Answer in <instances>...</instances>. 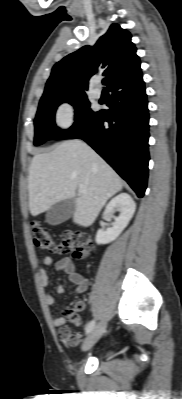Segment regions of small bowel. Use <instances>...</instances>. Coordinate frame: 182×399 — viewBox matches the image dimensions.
I'll list each match as a JSON object with an SVG mask.
<instances>
[{
  "label": "small bowel",
  "mask_w": 182,
  "mask_h": 399,
  "mask_svg": "<svg viewBox=\"0 0 182 399\" xmlns=\"http://www.w3.org/2000/svg\"><path fill=\"white\" fill-rule=\"evenodd\" d=\"M54 264V267L58 271L65 273L68 281L74 285V293L81 294L85 292L88 288L87 278L80 272L75 270L72 260L68 257L61 258L54 263L51 256H45L43 258V267L40 268V276L42 285L48 287L49 285V271L48 267ZM55 293L58 295H63L65 293V288L62 285H58L55 288ZM55 295L51 291H46L45 301L47 305L52 306L55 304ZM78 310H82L84 307L83 302H78L75 304ZM52 323L55 327L59 328V335L69 346H76L82 340L83 335L81 333L73 334L70 329L65 325L66 319L64 317H54Z\"/></svg>",
  "instance_id": "1"
}]
</instances>
